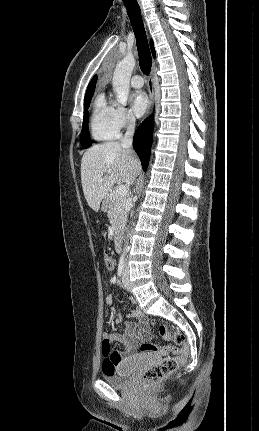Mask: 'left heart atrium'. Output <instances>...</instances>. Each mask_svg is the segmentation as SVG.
<instances>
[{"label":"left heart atrium","instance_id":"39dd6f15","mask_svg":"<svg viewBox=\"0 0 259 431\" xmlns=\"http://www.w3.org/2000/svg\"><path fill=\"white\" fill-rule=\"evenodd\" d=\"M148 107V98L147 95L138 91L135 92L131 99V108L132 112L136 117H141L144 115Z\"/></svg>","mask_w":259,"mask_h":431}]
</instances>
